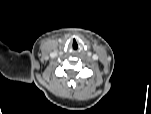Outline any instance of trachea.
<instances>
[{"instance_id":"trachea-1","label":"trachea","mask_w":151,"mask_h":114,"mask_svg":"<svg viewBox=\"0 0 151 114\" xmlns=\"http://www.w3.org/2000/svg\"><path fill=\"white\" fill-rule=\"evenodd\" d=\"M78 48V45L76 42H73V49L76 50Z\"/></svg>"}]
</instances>
